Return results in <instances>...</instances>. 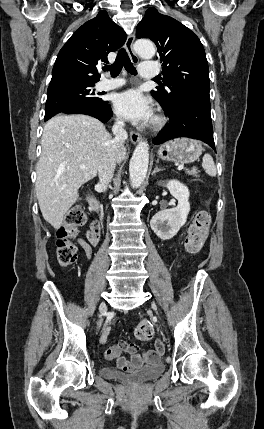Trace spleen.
<instances>
[{
  "instance_id": "3e777b00",
  "label": "spleen",
  "mask_w": 264,
  "mask_h": 429,
  "mask_svg": "<svg viewBox=\"0 0 264 429\" xmlns=\"http://www.w3.org/2000/svg\"><path fill=\"white\" fill-rule=\"evenodd\" d=\"M202 167L209 176H216L217 170L213 158L210 154H205L202 160Z\"/></svg>"
}]
</instances>
